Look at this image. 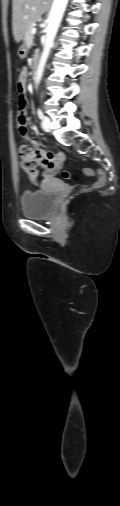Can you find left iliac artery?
Masks as SVG:
<instances>
[{
    "label": "left iliac artery",
    "instance_id": "obj_1",
    "mask_svg": "<svg viewBox=\"0 0 120 506\" xmlns=\"http://www.w3.org/2000/svg\"><path fill=\"white\" fill-rule=\"evenodd\" d=\"M37 115H38V117H39L40 119H43V117H44V116H43V112L41 111V109H38V110H37Z\"/></svg>",
    "mask_w": 120,
    "mask_h": 506
}]
</instances>
